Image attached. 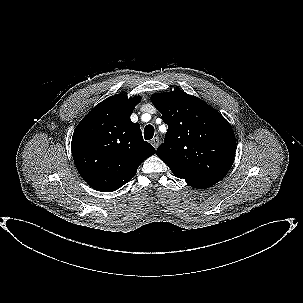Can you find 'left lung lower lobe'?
Wrapping results in <instances>:
<instances>
[{"mask_svg":"<svg viewBox=\"0 0 303 303\" xmlns=\"http://www.w3.org/2000/svg\"><path fill=\"white\" fill-rule=\"evenodd\" d=\"M217 182L218 181L215 180H209V181H194V182H186V183L194 188L205 189L216 184Z\"/></svg>","mask_w":303,"mask_h":303,"instance_id":"0a47b994","label":"left lung lower lobe"}]
</instances>
